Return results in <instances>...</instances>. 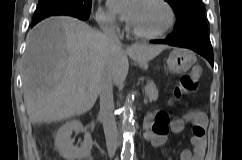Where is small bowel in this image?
<instances>
[{
    "label": "small bowel",
    "mask_w": 242,
    "mask_h": 160,
    "mask_svg": "<svg viewBox=\"0 0 242 160\" xmlns=\"http://www.w3.org/2000/svg\"><path fill=\"white\" fill-rule=\"evenodd\" d=\"M185 122H191L193 124V134L191 136V143L193 145V151L184 150L180 154L179 160H203L206 150V141H205V129H206V120L203 114L198 112H189L185 115L183 119L175 118L172 119L167 127L166 131L163 133L157 132L151 129V120L147 119L146 126V139L154 147H163L167 140V133L170 131L174 134L181 133L184 129ZM167 160H173L168 157Z\"/></svg>",
    "instance_id": "obj_1"
}]
</instances>
